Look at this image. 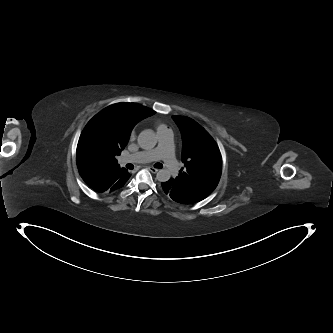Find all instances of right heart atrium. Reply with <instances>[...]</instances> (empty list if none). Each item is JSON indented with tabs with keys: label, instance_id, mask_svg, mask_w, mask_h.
I'll use <instances>...</instances> for the list:
<instances>
[{
	"label": "right heart atrium",
	"instance_id": "d8ad5b80",
	"mask_svg": "<svg viewBox=\"0 0 333 333\" xmlns=\"http://www.w3.org/2000/svg\"><path fill=\"white\" fill-rule=\"evenodd\" d=\"M135 138V132L132 130L128 133V140L132 141Z\"/></svg>",
	"mask_w": 333,
	"mask_h": 333
}]
</instances>
